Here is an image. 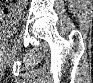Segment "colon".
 <instances>
[{
    "label": "colon",
    "instance_id": "obj_1",
    "mask_svg": "<svg viewBox=\"0 0 93 83\" xmlns=\"http://www.w3.org/2000/svg\"><path fill=\"white\" fill-rule=\"evenodd\" d=\"M7 3H11V4H22L23 2H16V1H6ZM16 9L13 8L12 6H4L1 9V18L2 21L7 22L9 21L12 16L15 14Z\"/></svg>",
    "mask_w": 93,
    "mask_h": 83
}]
</instances>
